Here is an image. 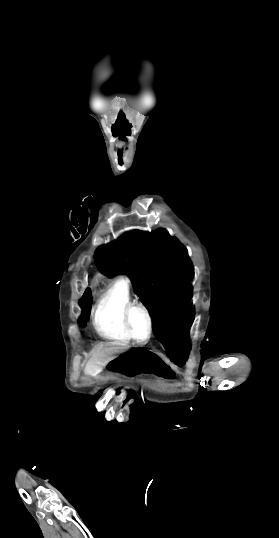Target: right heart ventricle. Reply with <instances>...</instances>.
<instances>
[{
	"instance_id": "right-heart-ventricle-1",
	"label": "right heart ventricle",
	"mask_w": 279,
	"mask_h": 538,
	"mask_svg": "<svg viewBox=\"0 0 279 538\" xmlns=\"http://www.w3.org/2000/svg\"><path fill=\"white\" fill-rule=\"evenodd\" d=\"M102 228L96 227L91 233L95 241L100 238ZM136 300L132 297L127 279L118 278L111 282L100 294L92 312V322L97 332L108 339L129 342L125 331L123 313Z\"/></svg>"
}]
</instances>
